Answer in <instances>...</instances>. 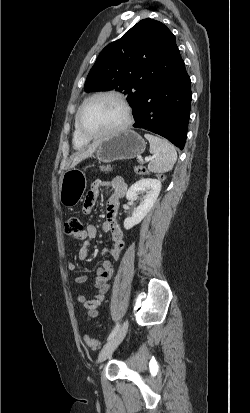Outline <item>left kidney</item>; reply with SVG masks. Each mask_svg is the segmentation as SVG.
Instances as JSON below:
<instances>
[{"mask_svg":"<svg viewBox=\"0 0 250 413\" xmlns=\"http://www.w3.org/2000/svg\"><path fill=\"white\" fill-rule=\"evenodd\" d=\"M161 190V182L157 179L145 178L135 182L127 191V200H136L138 195L146 193L141 199L139 206L134 210L131 217L124 220V228L131 229L139 224L151 210Z\"/></svg>","mask_w":250,"mask_h":413,"instance_id":"5707ae66","label":"left kidney"}]
</instances>
